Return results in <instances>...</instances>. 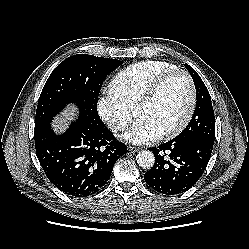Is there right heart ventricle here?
I'll use <instances>...</instances> for the list:
<instances>
[{
  "label": "right heart ventricle",
  "instance_id": "1",
  "mask_svg": "<svg viewBox=\"0 0 249 249\" xmlns=\"http://www.w3.org/2000/svg\"><path fill=\"white\" fill-rule=\"evenodd\" d=\"M177 66L161 60H145L120 70L111 81V89L132 107L136 105L152 82Z\"/></svg>",
  "mask_w": 249,
  "mask_h": 249
}]
</instances>
